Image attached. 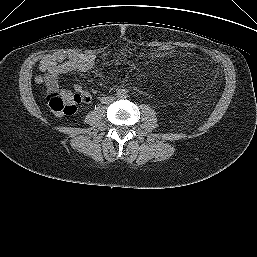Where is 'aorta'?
Returning <instances> with one entry per match:
<instances>
[{
    "label": "aorta",
    "instance_id": "1",
    "mask_svg": "<svg viewBox=\"0 0 257 257\" xmlns=\"http://www.w3.org/2000/svg\"><path fill=\"white\" fill-rule=\"evenodd\" d=\"M118 99H126L128 96V93L125 89H118L116 92Z\"/></svg>",
    "mask_w": 257,
    "mask_h": 257
}]
</instances>
